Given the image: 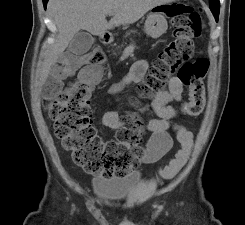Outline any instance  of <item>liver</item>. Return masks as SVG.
<instances>
[{"mask_svg":"<svg viewBox=\"0 0 245 225\" xmlns=\"http://www.w3.org/2000/svg\"><path fill=\"white\" fill-rule=\"evenodd\" d=\"M173 0H50L48 11L54 18L58 35L55 44L47 52L40 82L43 84L59 56L80 30L102 36L117 25L133 24L149 10ZM113 13L107 22L106 15Z\"/></svg>","mask_w":245,"mask_h":225,"instance_id":"obj_1","label":"liver"}]
</instances>
